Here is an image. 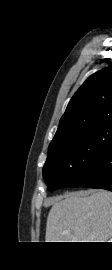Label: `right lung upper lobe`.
<instances>
[{"label": "right lung upper lobe", "instance_id": "right-lung-upper-lobe-1", "mask_svg": "<svg viewBox=\"0 0 112 270\" xmlns=\"http://www.w3.org/2000/svg\"><path fill=\"white\" fill-rule=\"evenodd\" d=\"M112 122V64L90 76L70 100L49 148Z\"/></svg>", "mask_w": 112, "mask_h": 270}]
</instances>
